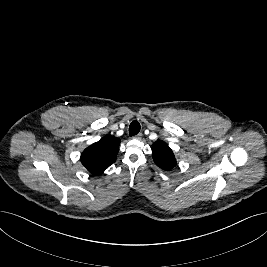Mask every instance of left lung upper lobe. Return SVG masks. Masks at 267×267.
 Masks as SVG:
<instances>
[{"label": "left lung upper lobe", "instance_id": "obj_1", "mask_svg": "<svg viewBox=\"0 0 267 267\" xmlns=\"http://www.w3.org/2000/svg\"><path fill=\"white\" fill-rule=\"evenodd\" d=\"M152 156L155 164L163 170H171L176 166L173 151L163 141H157L152 146Z\"/></svg>", "mask_w": 267, "mask_h": 267}]
</instances>
